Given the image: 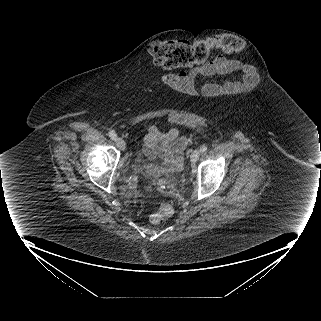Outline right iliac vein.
<instances>
[{
	"instance_id": "right-iliac-vein-1",
	"label": "right iliac vein",
	"mask_w": 321,
	"mask_h": 321,
	"mask_svg": "<svg viewBox=\"0 0 321 321\" xmlns=\"http://www.w3.org/2000/svg\"><path fill=\"white\" fill-rule=\"evenodd\" d=\"M116 144H117V146H118V148L120 149V150H125V148H126V144H125V142H124V140L122 139V138H120V137H118L117 139H116Z\"/></svg>"
}]
</instances>
